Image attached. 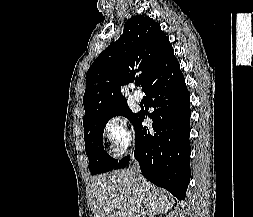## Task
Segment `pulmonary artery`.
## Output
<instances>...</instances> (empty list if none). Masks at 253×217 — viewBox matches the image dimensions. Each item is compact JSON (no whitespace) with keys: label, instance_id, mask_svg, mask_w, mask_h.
Wrapping results in <instances>:
<instances>
[{"label":"pulmonary artery","instance_id":"obj_1","mask_svg":"<svg viewBox=\"0 0 253 217\" xmlns=\"http://www.w3.org/2000/svg\"><path fill=\"white\" fill-rule=\"evenodd\" d=\"M133 97H134L135 101H137V102H141L143 100V94L138 90L134 91Z\"/></svg>","mask_w":253,"mask_h":217}]
</instances>
